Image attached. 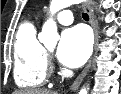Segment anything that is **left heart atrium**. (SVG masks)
Listing matches in <instances>:
<instances>
[{"label":"left heart atrium","mask_w":121,"mask_h":94,"mask_svg":"<svg viewBox=\"0 0 121 94\" xmlns=\"http://www.w3.org/2000/svg\"><path fill=\"white\" fill-rule=\"evenodd\" d=\"M91 38L82 26L66 29L60 39L57 49L59 61L68 67H79L89 57Z\"/></svg>","instance_id":"39dd6f15"}]
</instances>
